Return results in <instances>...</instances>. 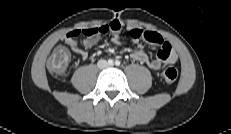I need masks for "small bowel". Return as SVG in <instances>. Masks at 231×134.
<instances>
[{
  "label": "small bowel",
  "instance_id": "1",
  "mask_svg": "<svg viewBox=\"0 0 231 134\" xmlns=\"http://www.w3.org/2000/svg\"><path fill=\"white\" fill-rule=\"evenodd\" d=\"M120 32L121 23L118 20H113L109 24L97 28L71 31L63 37V42L73 51L80 54L83 59H87L88 53L77 47L75 42L76 39L84 35L83 45L85 48L89 49L92 48L99 41L100 37L106 33L112 34L113 43L120 44ZM128 34L131 40L135 43L140 39H143L147 43L159 47L156 57L152 58L143 50H136L131 54L133 60L146 64L154 71H159L165 65L174 64L177 61L178 57L176 51L160 34L154 31H143L136 27L129 28Z\"/></svg>",
  "mask_w": 231,
  "mask_h": 134
}]
</instances>
